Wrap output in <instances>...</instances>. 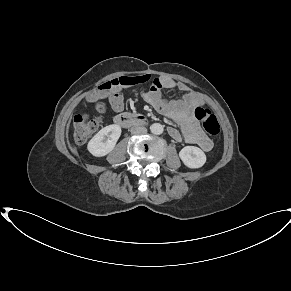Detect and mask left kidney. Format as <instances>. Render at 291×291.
I'll list each match as a JSON object with an SVG mask.
<instances>
[{
	"mask_svg": "<svg viewBox=\"0 0 291 291\" xmlns=\"http://www.w3.org/2000/svg\"><path fill=\"white\" fill-rule=\"evenodd\" d=\"M179 157L184 165L191 169L200 168L206 162L205 153L196 146H185L179 152Z\"/></svg>",
	"mask_w": 291,
	"mask_h": 291,
	"instance_id": "obj_1",
	"label": "left kidney"
}]
</instances>
